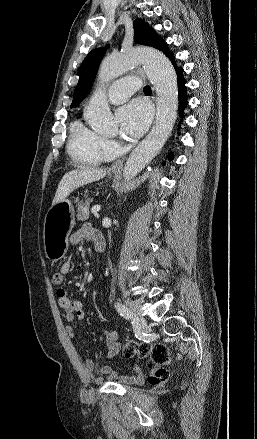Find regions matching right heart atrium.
Wrapping results in <instances>:
<instances>
[{
	"mask_svg": "<svg viewBox=\"0 0 257 439\" xmlns=\"http://www.w3.org/2000/svg\"><path fill=\"white\" fill-rule=\"evenodd\" d=\"M102 151L106 157L112 155L115 149V142L111 139H103L101 145Z\"/></svg>",
	"mask_w": 257,
	"mask_h": 439,
	"instance_id": "1",
	"label": "right heart atrium"
}]
</instances>
